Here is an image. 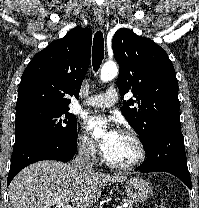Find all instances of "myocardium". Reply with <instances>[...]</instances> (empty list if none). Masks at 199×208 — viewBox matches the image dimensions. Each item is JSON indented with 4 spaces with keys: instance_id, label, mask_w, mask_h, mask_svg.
Instances as JSON below:
<instances>
[{
    "instance_id": "1",
    "label": "myocardium",
    "mask_w": 199,
    "mask_h": 208,
    "mask_svg": "<svg viewBox=\"0 0 199 208\" xmlns=\"http://www.w3.org/2000/svg\"><path fill=\"white\" fill-rule=\"evenodd\" d=\"M121 133L129 137L136 144L138 148L137 158L134 161L128 163H121L109 159L107 155L103 153V160L108 166L112 168L119 170H131L133 168L140 166L146 159V154H147L146 146L143 140L141 139V137L134 130L124 129L122 130Z\"/></svg>"
}]
</instances>
